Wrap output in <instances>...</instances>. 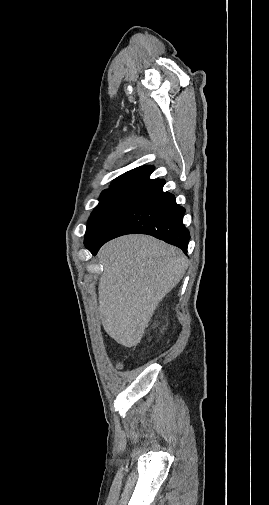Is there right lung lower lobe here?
<instances>
[{"label":"right lung lower lobe","mask_w":269,"mask_h":505,"mask_svg":"<svg viewBox=\"0 0 269 505\" xmlns=\"http://www.w3.org/2000/svg\"><path fill=\"white\" fill-rule=\"evenodd\" d=\"M165 181L155 179L139 190L113 217L97 241L86 246L94 255L107 241L125 234L141 233L175 245L187 253L190 239L183 224L185 209L175 197L163 192Z\"/></svg>","instance_id":"obj_1"}]
</instances>
